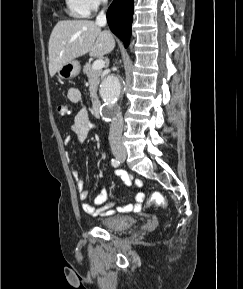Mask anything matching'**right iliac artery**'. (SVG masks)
Masks as SVG:
<instances>
[{
	"label": "right iliac artery",
	"mask_w": 243,
	"mask_h": 289,
	"mask_svg": "<svg viewBox=\"0 0 243 289\" xmlns=\"http://www.w3.org/2000/svg\"><path fill=\"white\" fill-rule=\"evenodd\" d=\"M111 164L113 167H118L120 165V161L117 159H112Z\"/></svg>",
	"instance_id": "obj_1"
}]
</instances>
